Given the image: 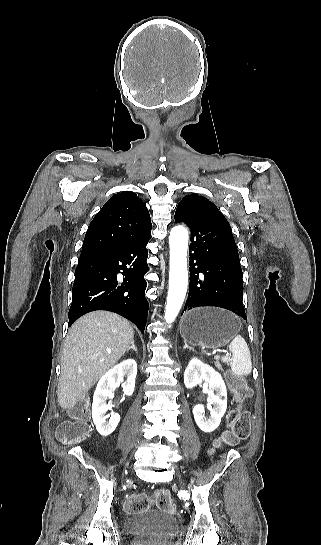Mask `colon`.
Segmentation results:
<instances>
[{"label":"colon","mask_w":321,"mask_h":545,"mask_svg":"<svg viewBox=\"0 0 321 545\" xmlns=\"http://www.w3.org/2000/svg\"><path fill=\"white\" fill-rule=\"evenodd\" d=\"M228 383L235 399L240 403L250 396V388L239 377L228 374ZM71 420L63 423L58 431V439L65 444H77L84 440L89 429V410L86 403H80L70 410ZM250 433V415L241 407L230 418L229 431L224 433L222 442L233 446L246 439ZM154 503L159 508L175 513L176 508L166 491H158L154 495L141 493L130 496L124 503L126 512L132 513L150 508Z\"/></svg>","instance_id":"1"}]
</instances>
